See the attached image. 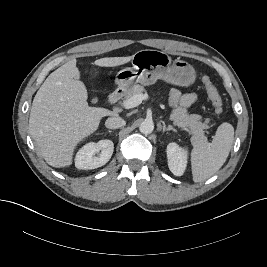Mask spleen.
I'll list each match as a JSON object with an SVG mask.
<instances>
[{
  "instance_id": "obj_1",
  "label": "spleen",
  "mask_w": 267,
  "mask_h": 267,
  "mask_svg": "<svg viewBox=\"0 0 267 267\" xmlns=\"http://www.w3.org/2000/svg\"><path fill=\"white\" fill-rule=\"evenodd\" d=\"M234 141V128L224 122L218 128L211 143H197L191 151L194 182H203L213 176L225 163Z\"/></svg>"
}]
</instances>
